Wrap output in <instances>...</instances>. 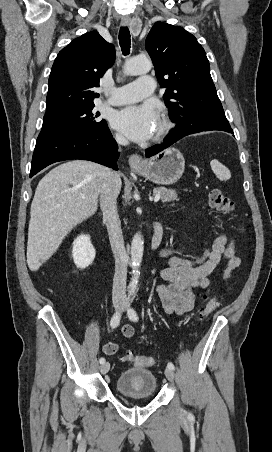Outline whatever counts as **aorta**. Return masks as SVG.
<instances>
[{"label":"aorta","mask_w":272,"mask_h":452,"mask_svg":"<svg viewBox=\"0 0 272 452\" xmlns=\"http://www.w3.org/2000/svg\"><path fill=\"white\" fill-rule=\"evenodd\" d=\"M152 68V62L145 57H135L129 60L124 72L127 75H139L148 73ZM144 240L140 233H136L131 242L132 278L129 284L130 293L137 289L140 275V266L143 258Z\"/></svg>","instance_id":"aorta-1"}]
</instances>
